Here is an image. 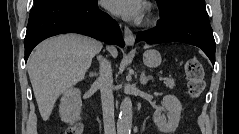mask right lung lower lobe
Returning <instances> with one entry per match:
<instances>
[{"mask_svg": "<svg viewBox=\"0 0 239 134\" xmlns=\"http://www.w3.org/2000/svg\"><path fill=\"white\" fill-rule=\"evenodd\" d=\"M84 34L124 47L121 30L97 0H42L30 12L25 36V61L42 40L62 34Z\"/></svg>", "mask_w": 239, "mask_h": 134, "instance_id": "98d812e1", "label": "right lung lower lobe"}]
</instances>
